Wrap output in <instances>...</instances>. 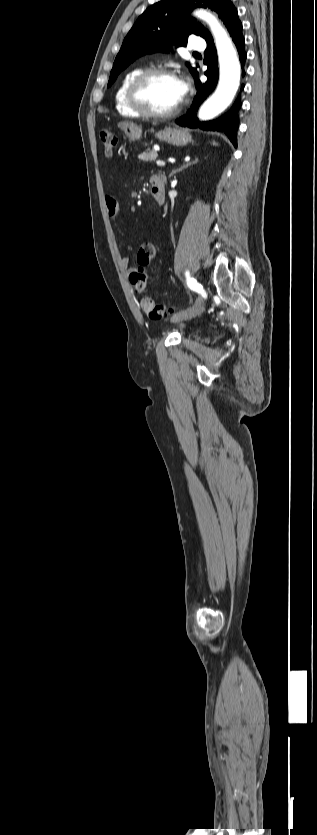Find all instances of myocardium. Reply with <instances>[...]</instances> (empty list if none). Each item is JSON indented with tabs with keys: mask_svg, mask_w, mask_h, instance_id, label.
Returning <instances> with one entry per match:
<instances>
[{
	"mask_svg": "<svg viewBox=\"0 0 317 835\" xmlns=\"http://www.w3.org/2000/svg\"><path fill=\"white\" fill-rule=\"evenodd\" d=\"M158 76H167V77L176 78L174 73L167 68L158 67V68L146 69L133 79V81L129 85V88H128V91H127V98H128V102H129L130 106L137 113H139L141 116L146 117V118H152V119L169 118V117H172V116L176 115L179 112V110L181 109V105H182L181 101L175 107H173L172 109L167 110V111H163V112L154 111L147 106V104L145 103V101L142 98L143 90L151 79H153L155 77H158Z\"/></svg>",
	"mask_w": 317,
	"mask_h": 835,
	"instance_id": "myocardium-1",
	"label": "myocardium"
}]
</instances>
